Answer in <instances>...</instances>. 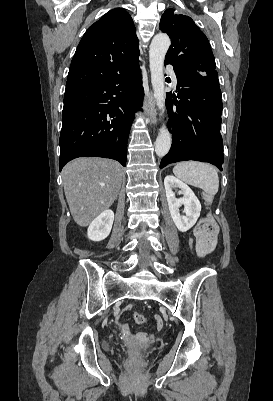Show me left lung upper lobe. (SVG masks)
<instances>
[{
	"mask_svg": "<svg viewBox=\"0 0 273 401\" xmlns=\"http://www.w3.org/2000/svg\"><path fill=\"white\" fill-rule=\"evenodd\" d=\"M160 30L171 38L166 60L193 73L216 71L210 43L189 16L175 14L174 10L168 9L161 17Z\"/></svg>",
	"mask_w": 273,
	"mask_h": 401,
	"instance_id": "left-lung-upper-lobe-1",
	"label": "left lung upper lobe"
}]
</instances>
